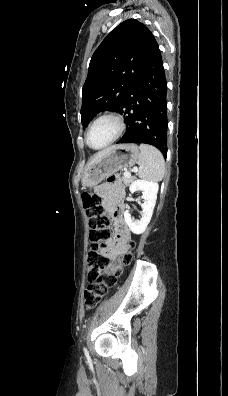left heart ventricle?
I'll return each instance as SVG.
<instances>
[{"label":"left heart ventricle","mask_w":228,"mask_h":396,"mask_svg":"<svg viewBox=\"0 0 228 396\" xmlns=\"http://www.w3.org/2000/svg\"><path fill=\"white\" fill-rule=\"evenodd\" d=\"M116 130V124L112 120L103 119L98 121L90 132V145L95 148L102 147L113 138Z\"/></svg>","instance_id":"b2bd125f"}]
</instances>
